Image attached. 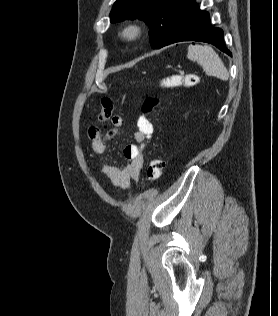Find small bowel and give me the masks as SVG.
I'll return each instance as SVG.
<instances>
[{"label": "small bowel", "instance_id": "1", "mask_svg": "<svg viewBox=\"0 0 278 316\" xmlns=\"http://www.w3.org/2000/svg\"><path fill=\"white\" fill-rule=\"evenodd\" d=\"M111 129L106 135L101 134L96 128L89 130L91 147L95 155L103 156L100 170L114 186L127 189L133 180L139 178L144 163V147L153 134V125L145 116L140 115L137 119V129L134 132L135 144L127 145L123 154L128 160L127 164L119 167L112 163L110 157L106 156L108 151V140L115 136L123 125L120 115H114L110 120Z\"/></svg>", "mask_w": 278, "mask_h": 316}]
</instances>
